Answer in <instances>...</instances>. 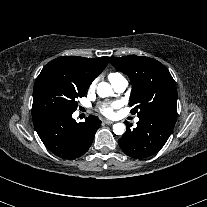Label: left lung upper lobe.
<instances>
[{
  "label": "left lung upper lobe",
  "instance_id": "obj_1",
  "mask_svg": "<svg viewBox=\"0 0 207 207\" xmlns=\"http://www.w3.org/2000/svg\"><path fill=\"white\" fill-rule=\"evenodd\" d=\"M110 63L130 78V106L138 117L177 116V89L168 69L159 61L143 56L110 58Z\"/></svg>",
  "mask_w": 207,
  "mask_h": 207
}]
</instances>
